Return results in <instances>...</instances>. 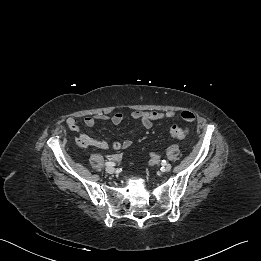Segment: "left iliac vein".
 <instances>
[{
	"label": "left iliac vein",
	"mask_w": 261,
	"mask_h": 261,
	"mask_svg": "<svg viewBox=\"0 0 261 261\" xmlns=\"http://www.w3.org/2000/svg\"><path fill=\"white\" fill-rule=\"evenodd\" d=\"M171 167L172 166L170 164H165V165H163L162 171L163 172H168V171L171 170Z\"/></svg>",
	"instance_id": "left-iliac-vein-1"
}]
</instances>
